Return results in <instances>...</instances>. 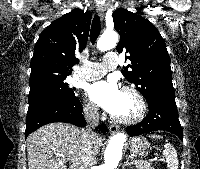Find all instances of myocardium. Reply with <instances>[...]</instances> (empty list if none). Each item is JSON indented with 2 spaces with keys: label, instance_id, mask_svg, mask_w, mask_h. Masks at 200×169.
Instances as JSON below:
<instances>
[{
  "label": "myocardium",
  "instance_id": "obj_1",
  "mask_svg": "<svg viewBox=\"0 0 200 169\" xmlns=\"http://www.w3.org/2000/svg\"><path fill=\"white\" fill-rule=\"evenodd\" d=\"M122 92L129 93L136 99L138 104L137 113L131 117H118L111 114L112 120L125 125H134L141 122L146 117L148 111L147 103L144 96L138 89L131 86L123 87Z\"/></svg>",
  "mask_w": 200,
  "mask_h": 169
}]
</instances>
